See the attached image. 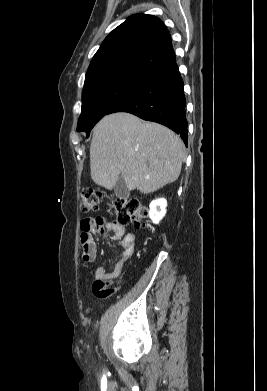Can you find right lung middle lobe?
Instances as JSON below:
<instances>
[{"instance_id": "dd1d6c3e", "label": "right lung middle lobe", "mask_w": 267, "mask_h": 391, "mask_svg": "<svg viewBox=\"0 0 267 391\" xmlns=\"http://www.w3.org/2000/svg\"><path fill=\"white\" fill-rule=\"evenodd\" d=\"M150 76L122 71L104 74L86 82L82 91V111L77 131L86 132L88 137L90 130L103 116L142 86Z\"/></svg>"}]
</instances>
